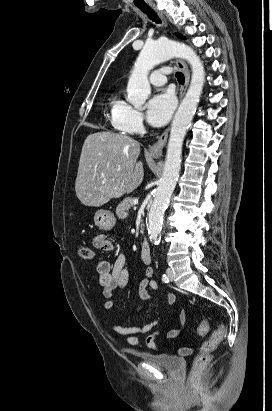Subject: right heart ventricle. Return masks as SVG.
<instances>
[{
  "mask_svg": "<svg viewBox=\"0 0 272 411\" xmlns=\"http://www.w3.org/2000/svg\"><path fill=\"white\" fill-rule=\"evenodd\" d=\"M122 103H123V101L118 96H116V95L113 96L110 99V110H111L112 122H113V125L115 126V128H117L120 131L125 132V130L116 121V115H117L118 109H119V107Z\"/></svg>",
  "mask_w": 272,
  "mask_h": 411,
  "instance_id": "1",
  "label": "right heart ventricle"
}]
</instances>
